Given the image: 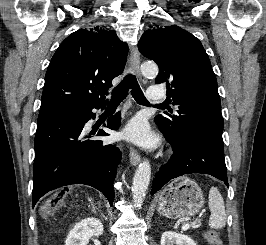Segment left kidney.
I'll use <instances>...</instances> for the list:
<instances>
[{"label":"left kidney","mask_w":266,"mask_h":245,"mask_svg":"<svg viewBox=\"0 0 266 245\" xmlns=\"http://www.w3.org/2000/svg\"><path fill=\"white\" fill-rule=\"evenodd\" d=\"M161 245H196L189 235H180L173 231H165L161 237Z\"/></svg>","instance_id":"1"}]
</instances>
